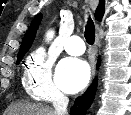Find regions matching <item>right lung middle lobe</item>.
Wrapping results in <instances>:
<instances>
[{"mask_svg": "<svg viewBox=\"0 0 131 115\" xmlns=\"http://www.w3.org/2000/svg\"><path fill=\"white\" fill-rule=\"evenodd\" d=\"M25 53L20 55L19 57H17V63L16 64H19L20 61L22 60V58L24 57Z\"/></svg>", "mask_w": 131, "mask_h": 115, "instance_id": "right-lung-middle-lobe-1", "label": "right lung middle lobe"}]
</instances>
